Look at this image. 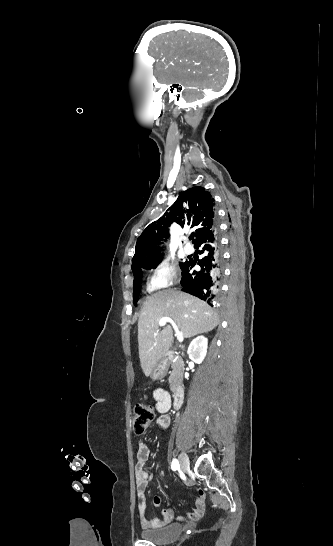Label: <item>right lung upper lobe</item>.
I'll list each match as a JSON object with an SVG mask.
<instances>
[{
    "instance_id": "right-lung-upper-lobe-1",
    "label": "right lung upper lobe",
    "mask_w": 333,
    "mask_h": 546,
    "mask_svg": "<svg viewBox=\"0 0 333 546\" xmlns=\"http://www.w3.org/2000/svg\"><path fill=\"white\" fill-rule=\"evenodd\" d=\"M214 199L203 187H193L182 192L175 203L157 221L148 225L137 239L135 255L132 259L134 276L142 269H151L160 262V248L156 245L163 237H168V227L172 222L181 227L189 226L195 230L198 241L205 233L215 227Z\"/></svg>"
}]
</instances>
